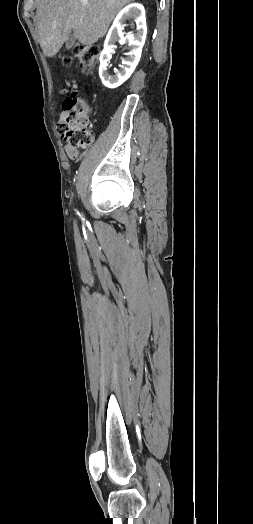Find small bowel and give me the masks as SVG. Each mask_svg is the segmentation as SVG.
<instances>
[{
	"instance_id": "obj_1",
	"label": "small bowel",
	"mask_w": 253,
	"mask_h": 524,
	"mask_svg": "<svg viewBox=\"0 0 253 524\" xmlns=\"http://www.w3.org/2000/svg\"><path fill=\"white\" fill-rule=\"evenodd\" d=\"M65 152L73 160H76L79 157L78 150L77 149H73V148L69 147L68 145L65 146Z\"/></svg>"
}]
</instances>
